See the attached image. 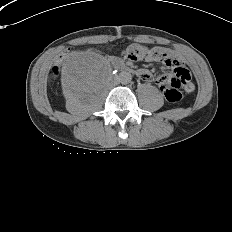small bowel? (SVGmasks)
<instances>
[{"instance_id":"small-bowel-1","label":"small bowel","mask_w":232,"mask_h":232,"mask_svg":"<svg viewBox=\"0 0 232 232\" xmlns=\"http://www.w3.org/2000/svg\"><path fill=\"white\" fill-rule=\"evenodd\" d=\"M136 49H141V48H136ZM156 51L159 52L160 54L159 57H154L152 55H149L145 57L144 60L147 62L161 60L166 66L173 68V70L177 66L182 67L184 69V67L181 65V58L179 57L178 53L175 50L171 48H166V47H158L156 48ZM139 75L144 82L146 83L155 82L162 90V87L164 85L163 78H158L155 81L152 75L147 70H144V69L139 71ZM184 89L187 92H192L194 90L193 83L189 81L185 85Z\"/></svg>"}]
</instances>
